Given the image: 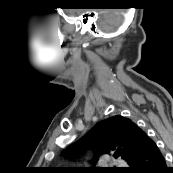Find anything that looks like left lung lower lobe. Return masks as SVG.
<instances>
[{"label":"left lung lower lobe","mask_w":173,"mask_h":173,"mask_svg":"<svg viewBox=\"0 0 173 173\" xmlns=\"http://www.w3.org/2000/svg\"><path fill=\"white\" fill-rule=\"evenodd\" d=\"M126 173H168L169 168L156 143L143 133V144L132 157Z\"/></svg>","instance_id":"1"}]
</instances>
